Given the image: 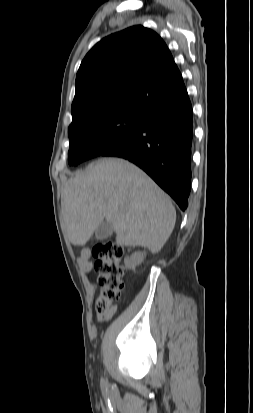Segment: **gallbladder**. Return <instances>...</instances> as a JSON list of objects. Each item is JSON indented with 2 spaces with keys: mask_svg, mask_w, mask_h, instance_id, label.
<instances>
[{
  "mask_svg": "<svg viewBox=\"0 0 253 413\" xmlns=\"http://www.w3.org/2000/svg\"><path fill=\"white\" fill-rule=\"evenodd\" d=\"M113 233V226L107 221L101 222L98 228L95 231V238L97 240H104L110 237Z\"/></svg>",
  "mask_w": 253,
  "mask_h": 413,
  "instance_id": "1",
  "label": "gallbladder"
}]
</instances>
